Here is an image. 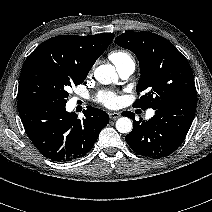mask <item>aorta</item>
I'll return each mask as SVG.
<instances>
[{"mask_svg": "<svg viewBox=\"0 0 212 212\" xmlns=\"http://www.w3.org/2000/svg\"><path fill=\"white\" fill-rule=\"evenodd\" d=\"M95 79L101 84H110L115 79V70L112 65H101L94 71ZM132 121L128 117H121L116 121V129L120 133H130Z\"/></svg>", "mask_w": 212, "mask_h": 212, "instance_id": "aorta-1", "label": "aorta"}]
</instances>
